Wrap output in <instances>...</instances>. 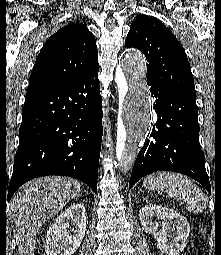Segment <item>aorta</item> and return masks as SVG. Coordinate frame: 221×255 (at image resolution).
<instances>
[{"mask_svg": "<svg viewBox=\"0 0 221 255\" xmlns=\"http://www.w3.org/2000/svg\"><path fill=\"white\" fill-rule=\"evenodd\" d=\"M146 61L136 50H128L116 73L122 106L123 134L118 138L116 157L127 169L136 159L151 126V101L146 84Z\"/></svg>", "mask_w": 221, "mask_h": 255, "instance_id": "1", "label": "aorta"}]
</instances>
